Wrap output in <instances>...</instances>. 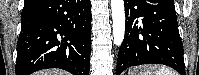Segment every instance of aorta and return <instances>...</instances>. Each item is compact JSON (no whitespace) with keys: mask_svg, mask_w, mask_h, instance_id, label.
Instances as JSON below:
<instances>
[{"mask_svg":"<svg viewBox=\"0 0 199 75\" xmlns=\"http://www.w3.org/2000/svg\"><path fill=\"white\" fill-rule=\"evenodd\" d=\"M114 44L120 46L125 34L124 0H111Z\"/></svg>","mask_w":199,"mask_h":75,"instance_id":"762f6f07","label":"aorta"}]
</instances>
